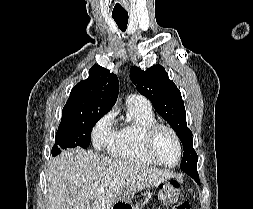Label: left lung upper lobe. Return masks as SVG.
<instances>
[{"label": "left lung upper lobe", "mask_w": 253, "mask_h": 209, "mask_svg": "<svg viewBox=\"0 0 253 209\" xmlns=\"http://www.w3.org/2000/svg\"><path fill=\"white\" fill-rule=\"evenodd\" d=\"M130 77L137 91L152 102L155 110L179 136L184 149L181 170L189 176L196 173L198 156L193 149L192 132L187 127L182 96L174 82L169 79L165 68L153 65L142 71L139 67L132 66Z\"/></svg>", "instance_id": "left-lung-upper-lobe-1"}]
</instances>
